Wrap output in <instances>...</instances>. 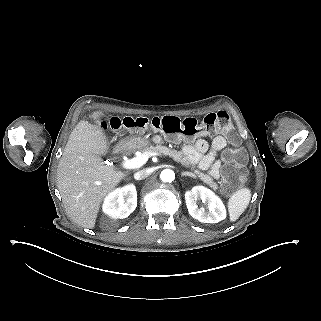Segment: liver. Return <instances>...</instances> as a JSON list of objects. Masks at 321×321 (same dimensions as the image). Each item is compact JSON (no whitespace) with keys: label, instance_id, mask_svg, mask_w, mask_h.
Here are the masks:
<instances>
[{"label":"liver","instance_id":"liver-1","mask_svg":"<svg viewBox=\"0 0 321 321\" xmlns=\"http://www.w3.org/2000/svg\"><path fill=\"white\" fill-rule=\"evenodd\" d=\"M102 112H94L97 120ZM80 121L70 134L57 169V186L68 216L79 226L93 229L105 196L125 177L105 165L101 155L108 151L100 122Z\"/></svg>","mask_w":321,"mask_h":321}]
</instances>
